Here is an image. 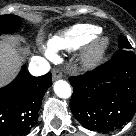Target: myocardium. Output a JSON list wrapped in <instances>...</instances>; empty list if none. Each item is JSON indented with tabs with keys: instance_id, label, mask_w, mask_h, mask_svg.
<instances>
[{
	"instance_id": "1",
	"label": "myocardium",
	"mask_w": 136,
	"mask_h": 136,
	"mask_svg": "<svg viewBox=\"0 0 136 136\" xmlns=\"http://www.w3.org/2000/svg\"><path fill=\"white\" fill-rule=\"evenodd\" d=\"M109 48L108 37L102 36L93 40L82 58L83 67L88 70L98 67L104 61Z\"/></svg>"
}]
</instances>
